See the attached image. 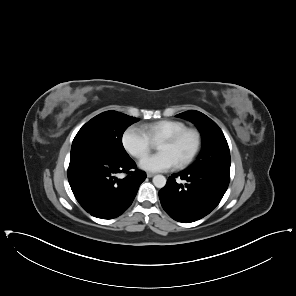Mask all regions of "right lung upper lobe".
I'll return each mask as SVG.
<instances>
[{
  "label": "right lung upper lobe",
  "instance_id": "obj_1",
  "mask_svg": "<svg viewBox=\"0 0 296 296\" xmlns=\"http://www.w3.org/2000/svg\"><path fill=\"white\" fill-rule=\"evenodd\" d=\"M129 119H131V120H136V121H138L139 119L138 118H135V117H131V116H128V115H126Z\"/></svg>",
  "mask_w": 296,
  "mask_h": 296
}]
</instances>
